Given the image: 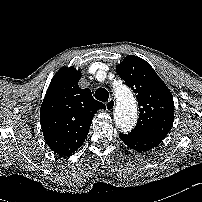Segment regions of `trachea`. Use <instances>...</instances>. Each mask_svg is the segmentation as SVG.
<instances>
[{"label": "trachea", "mask_w": 202, "mask_h": 202, "mask_svg": "<svg viewBox=\"0 0 202 202\" xmlns=\"http://www.w3.org/2000/svg\"><path fill=\"white\" fill-rule=\"evenodd\" d=\"M94 96L97 100L105 102L108 101L109 93L105 88H98Z\"/></svg>", "instance_id": "3493384b"}]
</instances>
